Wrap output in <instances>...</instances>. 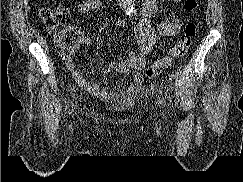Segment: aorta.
<instances>
[{"label":"aorta","mask_w":243,"mask_h":182,"mask_svg":"<svg viewBox=\"0 0 243 182\" xmlns=\"http://www.w3.org/2000/svg\"><path fill=\"white\" fill-rule=\"evenodd\" d=\"M120 8L126 15H131L134 10L135 0H118Z\"/></svg>","instance_id":"762f6f07"}]
</instances>
